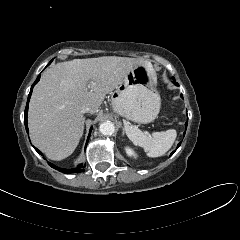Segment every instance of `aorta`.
I'll return each instance as SVG.
<instances>
[{
	"instance_id": "1",
	"label": "aorta",
	"mask_w": 240,
	"mask_h": 240,
	"mask_svg": "<svg viewBox=\"0 0 240 240\" xmlns=\"http://www.w3.org/2000/svg\"><path fill=\"white\" fill-rule=\"evenodd\" d=\"M99 131L106 136H110L115 132V126L112 122L106 121L100 124Z\"/></svg>"
}]
</instances>
